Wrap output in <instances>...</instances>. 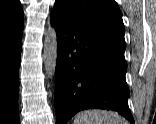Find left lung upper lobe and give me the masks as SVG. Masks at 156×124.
<instances>
[{"label": "left lung upper lobe", "mask_w": 156, "mask_h": 124, "mask_svg": "<svg viewBox=\"0 0 156 124\" xmlns=\"http://www.w3.org/2000/svg\"><path fill=\"white\" fill-rule=\"evenodd\" d=\"M54 7L75 23L99 30L125 44L122 14L114 0H57Z\"/></svg>", "instance_id": "left-lung-upper-lobe-1"}]
</instances>
